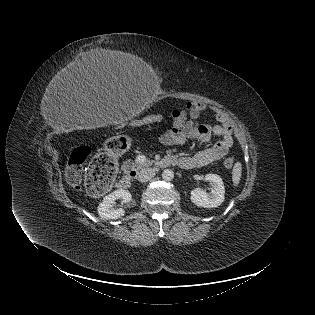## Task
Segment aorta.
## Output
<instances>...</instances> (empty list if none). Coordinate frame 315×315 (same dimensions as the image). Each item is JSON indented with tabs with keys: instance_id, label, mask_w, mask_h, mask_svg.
I'll list each match as a JSON object with an SVG mask.
<instances>
[{
	"instance_id": "obj_1",
	"label": "aorta",
	"mask_w": 315,
	"mask_h": 315,
	"mask_svg": "<svg viewBox=\"0 0 315 315\" xmlns=\"http://www.w3.org/2000/svg\"><path fill=\"white\" fill-rule=\"evenodd\" d=\"M162 177L166 181H171L174 178V172L171 169H165L162 173Z\"/></svg>"
}]
</instances>
